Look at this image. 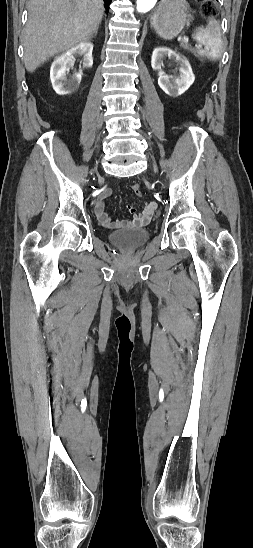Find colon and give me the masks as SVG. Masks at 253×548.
<instances>
[{
	"mask_svg": "<svg viewBox=\"0 0 253 548\" xmlns=\"http://www.w3.org/2000/svg\"><path fill=\"white\" fill-rule=\"evenodd\" d=\"M201 13L204 17H210V16L214 15L215 14L214 2L212 0H202ZM132 189H133V192L135 193V195H137V196L142 195L140 185L134 184Z\"/></svg>",
	"mask_w": 253,
	"mask_h": 548,
	"instance_id": "1",
	"label": "colon"
}]
</instances>
